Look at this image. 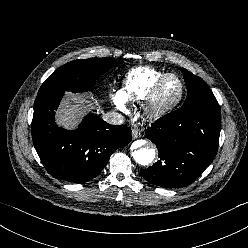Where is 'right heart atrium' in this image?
<instances>
[{"instance_id":"1","label":"right heart atrium","mask_w":248,"mask_h":248,"mask_svg":"<svg viewBox=\"0 0 248 248\" xmlns=\"http://www.w3.org/2000/svg\"><path fill=\"white\" fill-rule=\"evenodd\" d=\"M113 102L120 110L126 109V99L123 97L121 91H118L113 95Z\"/></svg>"}]
</instances>
